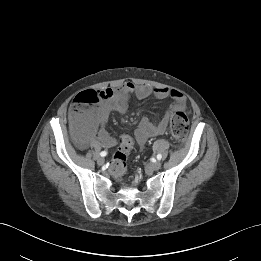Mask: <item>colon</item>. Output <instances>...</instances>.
<instances>
[{
	"label": "colon",
	"instance_id": "5ec220e1",
	"mask_svg": "<svg viewBox=\"0 0 261 261\" xmlns=\"http://www.w3.org/2000/svg\"><path fill=\"white\" fill-rule=\"evenodd\" d=\"M71 118L76 129L85 126L94 108L84 95L78 96L71 104ZM189 129V120L185 112L179 111L174 114L170 122V131L177 143L183 144L186 140ZM134 142L128 135H122L119 139L117 150L114 152L111 161V171L121 175L126 169V154L133 148Z\"/></svg>",
	"mask_w": 261,
	"mask_h": 261
}]
</instances>
